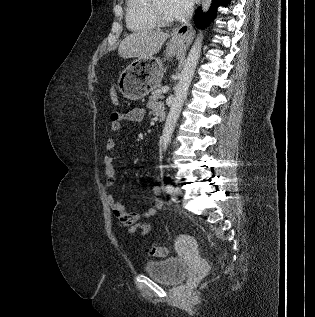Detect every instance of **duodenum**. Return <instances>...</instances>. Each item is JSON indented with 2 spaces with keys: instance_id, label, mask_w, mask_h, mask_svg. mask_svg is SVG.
<instances>
[{
  "instance_id": "duodenum-1",
  "label": "duodenum",
  "mask_w": 315,
  "mask_h": 317,
  "mask_svg": "<svg viewBox=\"0 0 315 317\" xmlns=\"http://www.w3.org/2000/svg\"><path fill=\"white\" fill-rule=\"evenodd\" d=\"M157 115L159 116V118H160L161 120H164V119L166 118V112H165L164 109L159 110V111L157 112Z\"/></svg>"
}]
</instances>
